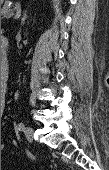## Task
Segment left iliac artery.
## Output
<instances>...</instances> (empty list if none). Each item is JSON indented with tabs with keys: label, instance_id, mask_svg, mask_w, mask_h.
<instances>
[{
	"label": "left iliac artery",
	"instance_id": "1",
	"mask_svg": "<svg viewBox=\"0 0 109 170\" xmlns=\"http://www.w3.org/2000/svg\"><path fill=\"white\" fill-rule=\"evenodd\" d=\"M17 128H18L19 131H22V130L25 128L24 123H22V122L19 123L18 126H17Z\"/></svg>",
	"mask_w": 109,
	"mask_h": 170
}]
</instances>
